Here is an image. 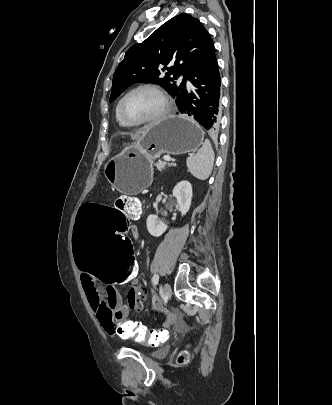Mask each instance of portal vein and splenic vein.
Wrapping results in <instances>:
<instances>
[{
	"mask_svg": "<svg viewBox=\"0 0 332 405\" xmlns=\"http://www.w3.org/2000/svg\"><path fill=\"white\" fill-rule=\"evenodd\" d=\"M164 160H165V161H168V162L173 161V159H172L171 157H169V156H164ZM170 165H171V166H176L175 163H171Z\"/></svg>",
	"mask_w": 332,
	"mask_h": 405,
	"instance_id": "1",
	"label": "portal vein and splenic vein"
}]
</instances>
